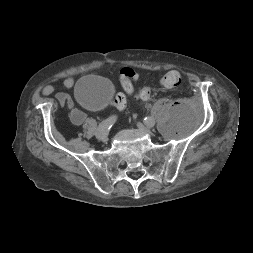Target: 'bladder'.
<instances>
[{
	"label": "bladder",
	"mask_w": 253,
	"mask_h": 253,
	"mask_svg": "<svg viewBox=\"0 0 253 253\" xmlns=\"http://www.w3.org/2000/svg\"><path fill=\"white\" fill-rule=\"evenodd\" d=\"M112 84L96 75L84 76L75 85L76 101L85 108L99 110L106 107L113 99Z\"/></svg>",
	"instance_id": "31cf9c89"
}]
</instances>
